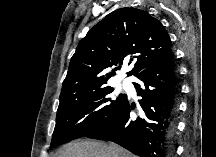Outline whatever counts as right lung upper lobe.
I'll return each mask as SVG.
<instances>
[{
    "label": "right lung upper lobe",
    "mask_w": 216,
    "mask_h": 157,
    "mask_svg": "<svg viewBox=\"0 0 216 157\" xmlns=\"http://www.w3.org/2000/svg\"><path fill=\"white\" fill-rule=\"evenodd\" d=\"M164 26L148 12L120 8L97 23L79 42L62 84L60 99L107 86L125 60L133 68L129 76L156 63L171 51ZM111 67L113 70L109 71Z\"/></svg>",
    "instance_id": "cb5924a9"
}]
</instances>
